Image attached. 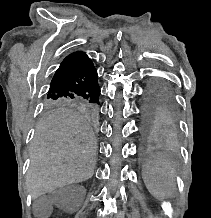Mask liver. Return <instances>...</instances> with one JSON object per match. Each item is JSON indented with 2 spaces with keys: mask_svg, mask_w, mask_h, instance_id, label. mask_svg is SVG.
I'll list each match as a JSON object with an SVG mask.
<instances>
[{
  "mask_svg": "<svg viewBox=\"0 0 211 218\" xmlns=\"http://www.w3.org/2000/svg\"><path fill=\"white\" fill-rule=\"evenodd\" d=\"M31 152L26 188L33 198L93 176L96 140L74 110L47 112L36 128Z\"/></svg>",
  "mask_w": 211,
  "mask_h": 218,
  "instance_id": "6515ba94",
  "label": "liver"
}]
</instances>
